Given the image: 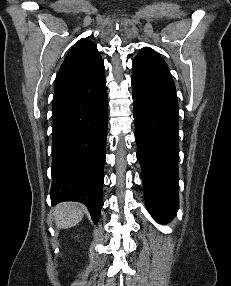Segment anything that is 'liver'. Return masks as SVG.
Segmentation results:
<instances>
[{
	"mask_svg": "<svg viewBox=\"0 0 231 286\" xmlns=\"http://www.w3.org/2000/svg\"><path fill=\"white\" fill-rule=\"evenodd\" d=\"M85 207L75 202L58 204L54 209V220L57 228L67 229L77 225L84 216Z\"/></svg>",
	"mask_w": 231,
	"mask_h": 286,
	"instance_id": "1",
	"label": "liver"
}]
</instances>
